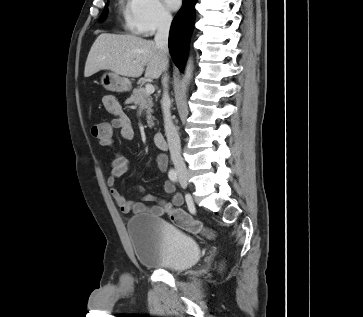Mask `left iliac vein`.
Instances as JSON below:
<instances>
[{"label":"left iliac vein","instance_id":"1","mask_svg":"<svg viewBox=\"0 0 363 317\" xmlns=\"http://www.w3.org/2000/svg\"><path fill=\"white\" fill-rule=\"evenodd\" d=\"M179 181H180V185H181L182 188H186L187 187V183L184 182L181 178L179 179Z\"/></svg>","mask_w":363,"mask_h":317}]
</instances>
